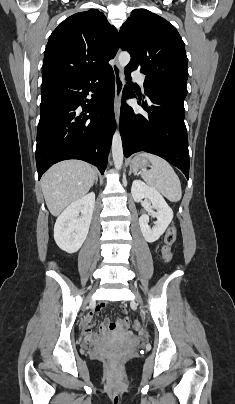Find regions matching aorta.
I'll list each match as a JSON object with an SVG mask.
<instances>
[{"label": "aorta", "instance_id": "762f6f07", "mask_svg": "<svg viewBox=\"0 0 235 404\" xmlns=\"http://www.w3.org/2000/svg\"><path fill=\"white\" fill-rule=\"evenodd\" d=\"M118 62L121 68L126 67L130 62V54L128 52H121L118 57ZM112 157L115 168L120 170L123 164V148L118 130L115 131L112 139Z\"/></svg>", "mask_w": 235, "mask_h": 404}]
</instances>
